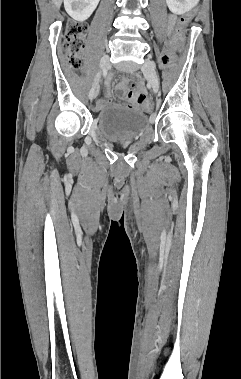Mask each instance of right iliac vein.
Masks as SVG:
<instances>
[{"instance_id":"obj_1","label":"right iliac vein","mask_w":241,"mask_h":379,"mask_svg":"<svg viewBox=\"0 0 241 379\" xmlns=\"http://www.w3.org/2000/svg\"><path fill=\"white\" fill-rule=\"evenodd\" d=\"M110 66V59H109V56L105 55L101 58L100 60V70H106L108 69ZM99 77H100V73L97 75L91 89H90V92H89V99L90 100H93L97 93H98V81H99Z\"/></svg>"}]
</instances>
